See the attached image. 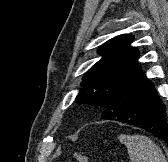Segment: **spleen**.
Segmentation results:
<instances>
[{"label":"spleen","instance_id":"spleen-1","mask_svg":"<svg viewBox=\"0 0 168 162\" xmlns=\"http://www.w3.org/2000/svg\"><path fill=\"white\" fill-rule=\"evenodd\" d=\"M128 150L131 162H167L162 150L144 135H119Z\"/></svg>","mask_w":168,"mask_h":162}]
</instances>
